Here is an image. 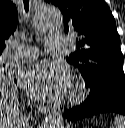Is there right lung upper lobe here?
<instances>
[{
	"label": "right lung upper lobe",
	"instance_id": "1",
	"mask_svg": "<svg viewBox=\"0 0 125 128\" xmlns=\"http://www.w3.org/2000/svg\"><path fill=\"white\" fill-rule=\"evenodd\" d=\"M18 12L11 0H0V55L7 39L16 29Z\"/></svg>",
	"mask_w": 125,
	"mask_h": 128
}]
</instances>
